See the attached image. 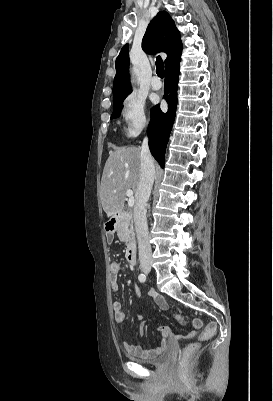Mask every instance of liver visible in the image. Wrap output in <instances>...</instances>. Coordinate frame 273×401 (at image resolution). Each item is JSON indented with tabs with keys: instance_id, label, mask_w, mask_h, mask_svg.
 <instances>
[{
	"instance_id": "obj_1",
	"label": "liver",
	"mask_w": 273,
	"mask_h": 401,
	"mask_svg": "<svg viewBox=\"0 0 273 401\" xmlns=\"http://www.w3.org/2000/svg\"><path fill=\"white\" fill-rule=\"evenodd\" d=\"M141 150L136 146H122L111 150L101 178L100 198L107 217L115 219L121 213L126 201V190L135 192L140 180Z\"/></svg>"
}]
</instances>
